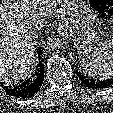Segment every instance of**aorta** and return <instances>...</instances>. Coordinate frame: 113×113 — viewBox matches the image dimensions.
<instances>
[{
	"mask_svg": "<svg viewBox=\"0 0 113 113\" xmlns=\"http://www.w3.org/2000/svg\"><path fill=\"white\" fill-rule=\"evenodd\" d=\"M62 48V42L57 37H49L45 41V51L47 53H57Z\"/></svg>",
	"mask_w": 113,
	"mask_h": 113,
	"instance_id": "1",
	"label": "aorta"
}]
</instances>
